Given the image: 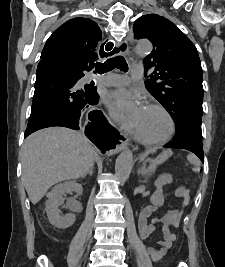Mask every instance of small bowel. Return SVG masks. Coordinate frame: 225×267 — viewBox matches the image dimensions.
Returning a JSON list of instances; mask_svg holds the SVG:
<instances>
[{
	"label": "small bowel",
	"instance_id": "obj_1",
	"mask_svg": "<svg viewBox=\"0 0 225 267\" xmlns=\"http://www.w3.org/2000/svg\"><path fill=\"white\" fill-rule=\"evenodd\" d=\"M176 196L182 200V206L186 205L189 199V191L184 186H179L176 189ZM156 208L153 205L146 206L139 219V232L143 240L148 239L156 230V226L161 224L163 227V238L158 241V248L147 247L148 253L155 259L162 258L167 251L172 247L176 240V235L171 232V228L178 227L180 218L183 214L182 208L170 210L163 216L149 218L154 214Z\"/></svg>",
	"mask_w": 225,
	"mask_h": 267
}]
</instances>
